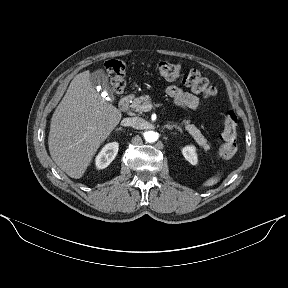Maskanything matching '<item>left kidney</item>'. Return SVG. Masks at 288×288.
<instances>
[{
  "label": "left kidney",
  "mask_w": 288,
  "mask_h": 288,
  "mask_svg": "<svg viewBox=\"0 0 288 288\" xmlns=\"http://www.w3.org/2000/svg\"><path fill=\"white\" fill-rule=\"evenodd\" d=\"M183 156L185 159L190 162L192 165L198 163V157L196 154V148L194 146H186L182 149Z\"/></svg>",
  "instance_id": "left-kidney-1"
}]
</instances>
